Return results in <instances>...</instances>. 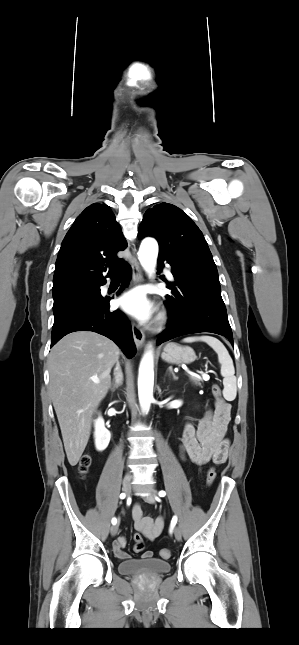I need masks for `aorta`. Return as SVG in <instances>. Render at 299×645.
<instances>
[{
  "label": "aorta",
  "instance_id": "1",
  "mask_svg": "<svg viewBox=\"0 0 299 645\" xmlns=\"http://www.w3.org/2000/svg\"><path fill=\"white\" fill-rule=\"evenodd\" d=\"M158 257V244L155 239L146 238L142 241L138 258L144 270L152 276ZM154 363L152 351H147L140 363L138 376V396L141 407L147 410L153 400Z\"/></svg>",
  "mask_w": 299,
  "mask_h": 645
}]
</instances>
